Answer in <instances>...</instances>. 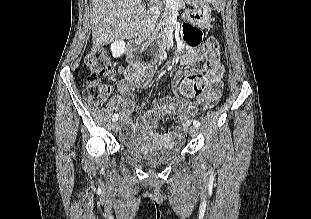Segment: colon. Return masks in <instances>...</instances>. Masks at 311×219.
Instances as JSON below:
<instances>
[{
  "label": "colon",
  "instance_id": "colon-1",
  "mask_svg": "<svg viewBox=\"0 0 311 219\" xmlns=\"http://www.w3.org/2000/svg\"><path fill=\"white\" fill-rule=\"evenodd\" d=\"M185 37L192 43L198 44L201 32L186 24L183 27ZM220 55V45L217 39L209 38L200 48L198 56L193 63L195 74L189 76L182 85V93L186 95L199 94L206 87L207 81L204 73L207 71H222V67L218 64ZM85 64L88 68V75L83 85V95L85 99L94 104H104L111 93L109 85L101 81V77H113L117 74L118 68L113 63L105 50L94 47L88 53Z\"/></svg>",
  "mask_w": 311,
  "mask_h": 219
}]
</instances>
